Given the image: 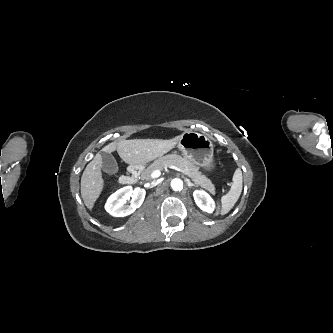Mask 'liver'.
<instances>
[{
    "instance_id": "6515ba94",
    "label": "liver",
    "mask_w": 333,
    "mask_h": 333,
    "mask_svg": "<svg viewBox=\"0 0 333 333\" xmlns=\"http://www.w3.org/2000/svg\"><path fill=\"white\" fill-rule=\"evenodd\" d=\"M179 139L180 136L169 140H122L118 143L112 142L106 145L102 151L108 153L117 151L124 162L130 165L141 166L169 152L178 144ZM101 167L102 158L100 154H97L94 159L87 164L81 177V196L89 210H92L104 188Z\"/></svg>"
}]
</instances>
